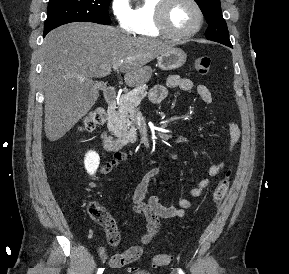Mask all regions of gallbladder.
<instances>
[{"label":"gallbladder","mask_w":289,"mask_h":274,"mask_svg":"<svg viewBox=\"0 0 289 274\" xmlns=\"http://www.w3.org/2000/svg\"><path fill=\"white\" fill-rule=\"evenodd\" d=\"M98 87H99V89L105 88V83L104 82H99L98 83Z\"/></svg>","instance_id":"gallbladder-1"}]
</instances>
